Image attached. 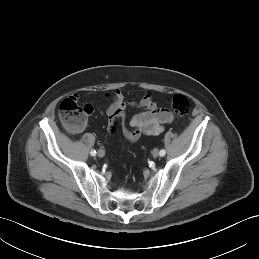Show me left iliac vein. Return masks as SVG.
Here are the masks:
<instances>
[{
	"mask_svg": "<svg viewBox=\"0 0 259 259\" xmlns=\"http://www.w3.org/2000/svg\"><path fill=\"white\" fill-rule=\"evenodd\" d=\"M152 155H153L154 158H157V157L159 156V151H158V149H154V150L152 151Z\"/></svg>",
	"mask_w": 259,
	"mask_h": 259,
	"instance_id": "4c4485c4",
	"label": "left iliac vein"
}]
</instances>
